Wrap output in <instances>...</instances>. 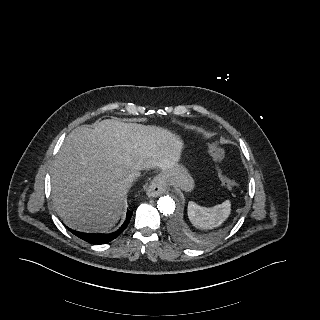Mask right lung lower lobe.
I'll return each mask as SVG.
<instances>
[{
  "label": "right lung lower lobe",
  "mask_w": 320,
  "mask_h": 320,
  "mask_svg": "<svg viewBox=\"0 0 320 320\" xmlns=\"http://www.w3.org/2000/svg\"><path fill=\"white\" fill-rule=\"evenodd\" d=\"M131 216H132V212L128 210L126 220L124 221L123 225L117 231L110 234L83 233V232L72 230L70 228H68V230L74 235H76L77 237H79L80 239L88 243L105 244L117 238L125 230V228L129 224Z\"/></svg>",
  "instance_id": "1"
}]
</instances>
